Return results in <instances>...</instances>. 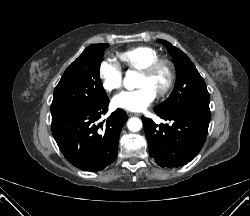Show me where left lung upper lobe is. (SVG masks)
<instances>
[{
    "mask_svg": "<svg viewBox=\"0 0 250 216\" xmlns=\"http://www.w3.org/2000/svg\"><path fill=\"white\" fill-rule=\"evenodd\" d=\"M164 44L173 58L176 68V83L170 96L157 109L164 113L196 111L211 117L209 107L210 94L206 83L190 58L179 48L166 40H158Z\"/></svg>",
    "mask_w": 250,
    "mask_h": 216,
    "instance_id": "5c2ea615",
    "label": "left lung upper lobe"
}]
</instances>
